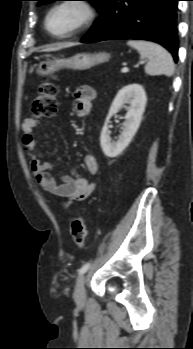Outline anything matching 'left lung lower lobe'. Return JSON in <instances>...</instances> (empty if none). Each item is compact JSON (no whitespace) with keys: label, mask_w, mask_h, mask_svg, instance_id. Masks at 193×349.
Returning <instances> with one entry per match:
<instances>
[{"label":"left lung lower lobe","mask_w":193,"mask_h":349,"mask_svg":"<svg viewBox=\"0 0 193 349\" xmlns=\"http://www.w3.org/2000/svg\"><path fill=\"white\" fill-rule=\"evenodd\" d=\"M179 0H107L83 43L143 39L161 44L178 60L176 9Z\"/></svg>","instance_id":"0a47b994"}]
</instances>
